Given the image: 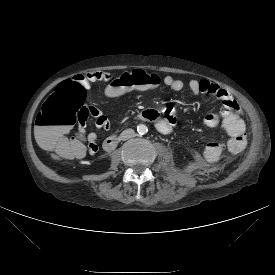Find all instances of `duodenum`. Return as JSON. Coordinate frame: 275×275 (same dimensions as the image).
<instances>
[{
	"label": "duodenum",
	"mask_w": 275,
	"mask_h": 275,
	"mask_svg": "<svg viewBox=\"0 0 275 275\" xmlns=\"http://www.w3.org/2000/svg\"><path fill=\"white\" fill-rule=\"evenodd\" d=\"M136 118L142 121H150L147 116V111H143L139 113ZM117 144H118V135L112 134L104 140L103 148L107 151H111L116 148Z\"/></svg>",
	"instance_id": "410a0bca"
}]
</instances>
